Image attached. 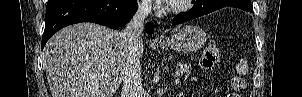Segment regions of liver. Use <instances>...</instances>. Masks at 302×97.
Wrapping results in <instances>:
<instances>
[{"label": "liver", "mask_w": 302, "mask_h": 97, "mask_svg": "<svg viewBox=\"0 0 302 97\" xmlns=\"http://www.w3.org/2000/svg\"><path fill=\"white\" fill-rule=\"evenodd\" d=\"M120 33L94 23H79L53 35L43 50L52 97H112L127 63ZM142 56L143 42L139 48Z\"/></svg>", "instance_id": "liver-1"}]
</instances>
